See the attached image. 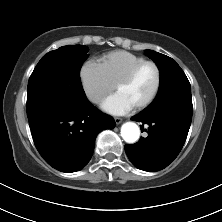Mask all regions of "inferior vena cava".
<instances>
[{"label": "inferior vena cava", "mask_w": 222, "mask_h": 222, "mask_svg": "<svg viewBox=\"0 0 222 222\" xmlns=\"http://www.w3.org/2000/svg\"><path fill=\"white\" fill-rule=\"evenodd\" d=\"M93 101L94 102H99V101H101V97L100 96H96V97H94Z\"/></svg>", "instance_id": "602c4592"}]
</instances>
